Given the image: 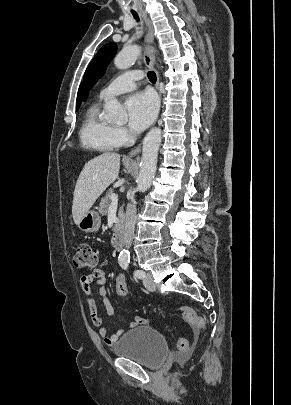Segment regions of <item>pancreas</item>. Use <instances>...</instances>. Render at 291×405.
<instances>
[{
  "instance_id": "obj_1",
  "label": "pancreas",
  "mask_w": 291,
  "mask_h": 405,
  "mask_svg": "<svg viewBox=\"0 0 291 405\" xmlns=\"http://www.w3.org/2000/svg\"><path fill=\"white\" fill-rule=\"evenodd\" d=\"M112 194H114V191L109 190L108 192H106L105 196L101 199V202H100V205H99V213L102 216H105L107 214V212H108V209H109V206H110V203H111L110 197H111ZM123 215H124L123 207H120L119 212H118L119 223L114 225V227H113L114 232H117L118 229L120 228L121 222H122V219H123Z\"/></svg>"
}]
</instances>
